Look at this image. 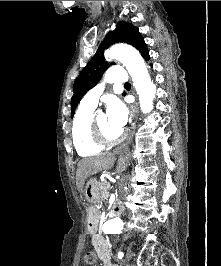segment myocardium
I'll use <instances>...</instances> for the list:
<instances>
[{"label": "myocardium", "mask_w": 221, "mask_h": 266, "mask_svg": "<svg viewBox=\"0 0 221 266\" xmlns=\"http://www.w3.org/2000/svg\"><path fill=\"white\" fill-rule=\"evenodd\" d=\"M91 134L93 140L101 146H112L118 144L125 136L124 131H121L115 138L107 137L99 126L97 115H93L91 119Z\"/></svg>", "instance_id": "1"}]
</instances>
